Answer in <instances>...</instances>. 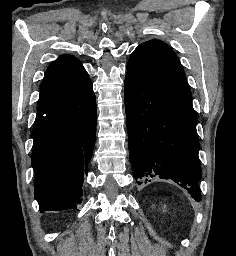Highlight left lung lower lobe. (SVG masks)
Wrapping results in <instances>:
<instances>
[{
  "mask_svg": "<svg viewBox=\"0 0 236 256\" xmlns=\"http://www.w3.org/2000/svg\"><path fill=\"white\" fill-rule=\"evenodd\" d=\"M124 98L136 183L171 179L200 201V145L192 103L129 72Z\"/></svg>",
  "mask_w": 236,
  "mask_h": 256,
  "instance_id": "obj_1",
  "label": "left lung lower lobe"
}]
</instances>
